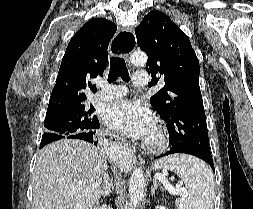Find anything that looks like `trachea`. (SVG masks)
Returning <instances> with one entry per match:
<instances>
[{
  "label": "trachea",
  "instance_id": "obj_1",
  "mask_svg": "<svg viewBox=\"0 0 253 209\" xmlns=\"http://www.w3.org/2000/svg\"><path fill=\"white\" fill-rule=\"evenodd\" d=\"M117 49L122 51L120 46H116ZM121 77L123 81L129 82L130 77L125 61L119 57H111L110 59V71L108 75V82H114L118 77Z\"/></svg>",
  "mask_w": 253,
  "mask_h": 209
}]
</instances>
